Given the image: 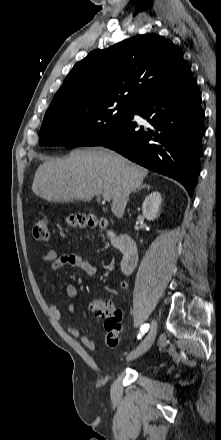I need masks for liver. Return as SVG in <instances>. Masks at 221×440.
I'll return each mask as SVG.
<instances>
[{
	"instance_id": "obj_1",
	"label": "liver",
	"mask_w": 221,
	"mask_h": 440,
	"mask_svg": "<svg viewBox=\"0 0 221 440\" xmlns=\"http://www.w3.org/2000/svg\"><path fill=\"white\" fill-rule=\"evenodd\" d=\"M149 173L123 156L104 148L76 149L67 159H49L37 169L32 191L49 202L91 201L109 192L111 209L121 218L129 194Z\"/></svg>"
}]
</instances>
